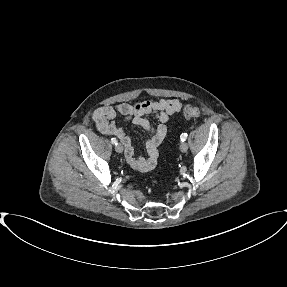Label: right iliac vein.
Masks as SVG:
<instances>
[{
	"label": "right iliac vein",
	"mask_w": 287,
	"mask_h": 287,
	"mask_svg": "<svg viewBox=\"0 0 287 287\" xmlns=\"http://www.w3.org/2000/svg\"><path fill=\"white\" fill-rule=\"evenodd\" d=\"M115 150H116L117 153H122V152H123V146H122V144H117V145L115 146Z\"/></svg>",
	"instance_id": "obj_1"
}]
</instances>
